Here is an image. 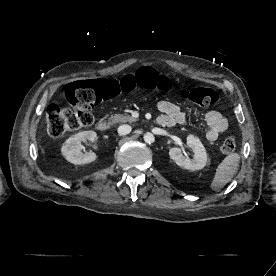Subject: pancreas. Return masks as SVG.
<instances>
[{"label":"pancreas","instance_id":"obj_1","mask_svg":"<svg viewBox=\"0 0 276 276\" xmlns=\"http://www.w3.org/2000/svg\"><path fill=\"white\" fill-rule=\"evenodd\" d=\"M109 124L113 125V124H116V123H132V122H135L136 119L133 118L132 116H130L129 114H114L112 115L110 118H109Z\"/></svg>","mask_w":276,"mask_h":276}]
</instances>
